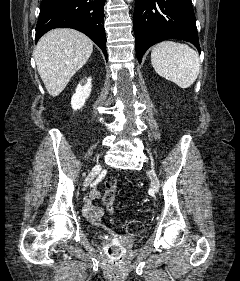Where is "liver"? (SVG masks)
Here are the masks:
<instances>
[{
  "mask_svg": "<svg viewBox=\"0 0 240 281\" xmlns=\"http://www.w3.org/2000/svg\"><path fill=\"white\" fill-rule=\"evenodd\" d=\"M92 51L93 42L74 29H54L41 37L34 49V58L49 95L55 97L65 89Z\"/></svg>",
  "mask_w": 240,
  "mask_h": 281,
  "instance_id": "1",
  "label": "liver"
}]
</instances>
